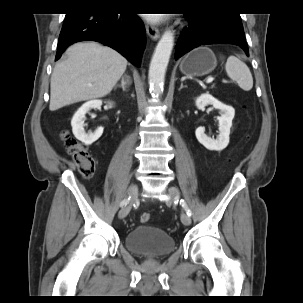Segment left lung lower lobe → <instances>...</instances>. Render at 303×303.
Here are the masks:
<instances>
[{
	"label": "left lung lower lobe",
	"instance_id": "obj_1",
	"mask_svg": "<svg viewBox=\"0 0 303 303\" xmlns=\"http://www.w3.org/2000/svg\"><path fill=\"white\" fill-rule=\"evenodd\" d=\"M189 25L176 45L175 59L190 50L207 44H234L249 56L241 20L218 18L208 13L185 14Z\"/></svg>",
	"mask_w": 303,
	"mask_h": 303
}]
</instances>
